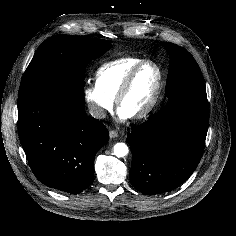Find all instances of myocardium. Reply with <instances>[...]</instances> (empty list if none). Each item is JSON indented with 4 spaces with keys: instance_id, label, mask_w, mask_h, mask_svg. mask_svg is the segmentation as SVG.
<instances>
[{
    "instance_id": "myocardium-1",
    "label": "myocardium",
    "mask_w": 236,
    "mask_h": 236,
    "mask_svg": "<svg viewBox=\"0 0 236 236\" xmlns=\"http://www.w3.org/2000/svg\"><path fill=\"white\" fill-rule=\"evenodd\" d=\"M146 65H153L157 69L158 84L149 104L139 113L130 116V119L133 121H138V120L147 118L155 110L156 106L158 105L160 101L161 94L164 88L165 77H164V71L162 67L154 60H150V59L144 60L138 65H136L134 68H132L130 72L127 74L126 78L124 79L118 91V94L116 96L117 108L120 109L121 102L124 99V97L127 95V93L129 92L136 75Z\"/></svg>"
}]
</instances>
